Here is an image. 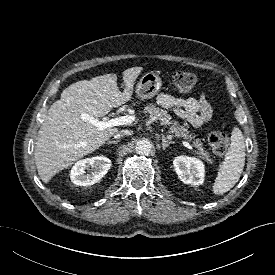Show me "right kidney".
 I'll list each match as a JSON object with an SVG mask.
<instances>
[{"instance_id": "right-kidney-1", "label": "right kidney", "mask_w": 275, "mask_h": 275, "mask_svg": "<svg viewBox=\"0 0 275 275\" xmlns=\"http://www.w3.org/2000/svg\"><path fill=\"white\" fill-rule=\"evenodd\" d=\"M110 167L111 160L105 156L82 159L72 167L70 178L78 186L93 185L104 177Z\"/></svg>"}]
</instances>
